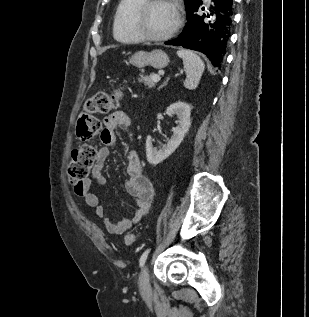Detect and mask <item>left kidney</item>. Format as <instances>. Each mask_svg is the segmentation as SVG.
I'll list each match as a JSON object with an SVG mask.
<instances>
[{
  "mask_svg": "<svg viewBox=\"0 0 309 317\" xmlns=\"http://www.w3.org/2000/svg\"><path fill=\"white\" fill-rule=\"evenodd\" d=\"M166 114L169 116L177 115L179 124L173 128L171 139L159 150L153 147L151 137L147 136L146 157L147 161L152 165L159 164L177 149L191 125V107L185 102L178 101L173 103L167 108Z\"/></svg>",
  "mask_w": 309,
  "mask_h": 317,
  "instance_id": "left-kidney-1",
  "label": "left kidney"
}]
</instances>
